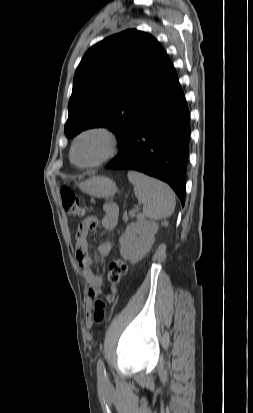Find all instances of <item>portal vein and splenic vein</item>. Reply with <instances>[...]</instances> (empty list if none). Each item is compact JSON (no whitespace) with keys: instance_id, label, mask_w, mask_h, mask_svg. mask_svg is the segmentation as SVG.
<instances>
[{"instance_id":"18ae733b","label":"portal vein and splenic vein","mask_w":253,"mask_h":413,"mask_svg":"<svg viewBox=\"0 0 253 413\" xmlns=\"http://www.w3.org/2000/svg\"><path fill=\"white\" fill-rule=\"evenodd\" d=\"M132 214L134 215V214H135V211H132Z\"/></svg>"}]
</instances>
